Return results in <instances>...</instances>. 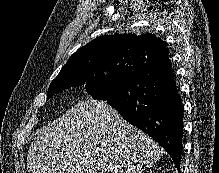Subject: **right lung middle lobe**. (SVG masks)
Returning a JSON list of instances; mask_svg holds the SVG:
<instances>
[{"label":"right lung middle lobe","instance_id":"dd1d6c3e","mask_svg":"<svg viewBox=\"0 0 219 173\" xmlns=\"http://www.w3.org/2000/svg\"><path fill=\"white\" fill-rule=\"evenodd\" d=\"M134 68L133 64L115 62L82 74L64 73L49 86L47 98L64 89L84 85L87 93L94 99L105 100L122 77L133 71Z\"/></svg>","mask_w":219,"mask_h":173}]
</instances>
